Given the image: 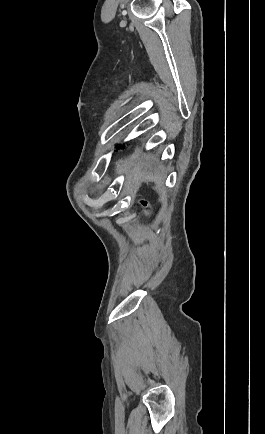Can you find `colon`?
I'll return each instance as SVG.
<instances>
[{
	"mask_svg": "<svg viewBox=\"0 0 265 434\" xmlns=\"http://www.w3.org/2000/svg\"><path fill=\"white\" fill-rule=\"evenodd\" d=\"M139 206L145 214H147L148 216L152 215V211L150 210L149 204L146 199H140Z\"/></svg>",
	"mask_w": 265,
	"mask_h": 434,
	"instance_id": "colon-1",
	"label": "colon"
}]
</instances>
